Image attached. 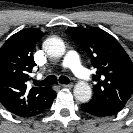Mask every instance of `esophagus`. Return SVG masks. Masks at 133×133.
Here are the masks:
<instances>
[{"label": "esophagus", "mask_w": 133, "mask_h": 133, "mask_svg": "<svg viewBox=\"0 0 133 133\" xmlns=\"http://www.w3.org/2000/svg\"><path fill=\"white\" fill-rule=\"evenodd\" d=\"M61 86L64 87V88H71V87H73V84L72 83H70V84H62Z\"/></svg>", "instance_id": "1"}]
</instances>
